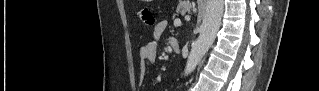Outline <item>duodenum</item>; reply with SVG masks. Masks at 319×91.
Listing matches in <instances>:
<instances>
[{
  "mask_svg": "<svg viewBox=\"0 0 319 91\" xmlns=\"http://www.w3.org/2000/svg\"><path fill=\"white\" fill-rule=\"evenodd\" d=\"M170 46H171V49L174 51V52H179L180 51V44L178 42L177 39L175 38H172L170 40Z\"/></svg>",
  "mask_w": 319,
  "mask_h": 91,
  "instance_id": "1",
  "label": "duodenum"
}]
</instances>
